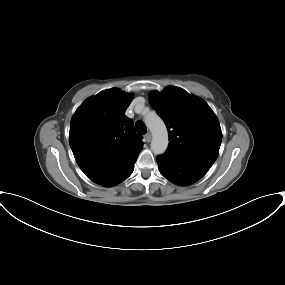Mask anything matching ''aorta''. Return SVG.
<instances>
[{
    "label": "aorta",
    "instance_id": "aorta-1",
    "mask_svg": "<svg viewBox=\"0 0 285 285\" xmlns=\"http://www.w3.org/2000/svg\"><path fill=\"white\" fill-rule=\"evenodd\" d=\"M146 124L152 133L151 150L155 155L163 154L168 147V132L163 120L157 115L146 118Z\"/></svg>",
    "mask_w": 285,
    "mask_h": 285
}]
</instances>
